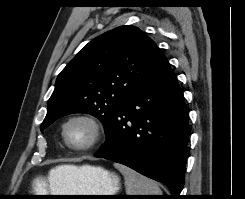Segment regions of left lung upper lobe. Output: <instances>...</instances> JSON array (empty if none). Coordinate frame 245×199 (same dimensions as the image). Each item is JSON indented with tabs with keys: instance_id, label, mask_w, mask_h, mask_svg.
I'll use <instances>...</instances> for the list:
<instances>
[{
	"instance_id": "5c2ea615",
	"label": "left lung upper lobe",
	"mask_w": 245,
	"mask_h": 199,
	"mask_svg": "<svg viewBox=\"0 0 245 199\" xmlns=\"http://www.w3.org/2000/svg\"><path fill=\"white\" fill-rule=\"evenodd\" d=\"M162 57L155 42L134 26H120L95 38L58 75L41 131L71 113L94 115L106 127Z\"/></svg>"
}]
</instances>
